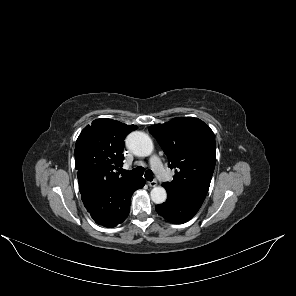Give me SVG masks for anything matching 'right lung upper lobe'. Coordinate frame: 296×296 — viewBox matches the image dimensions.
Masks as SVG:
<instances>
[{
  "mask_svg": "<svg viewBox=\"0 0 296 296\" xmlns=\"http://www.w3.org/2000/svg\"><path fill=\"white\" fill-rule=\"evenodd\" d=\"M136 129L135 125L106 118L96 119L87 125L75 145L77 175H89L102 184H121L137 178L120 176L115 171L123 166L124 139Z\"/></svg>",
  "mask_w": 296,
  "mask_h": 296,
  "instance_id": "cb5924a9",
  "label": "right lung upper lobe"
}]
</instances>
